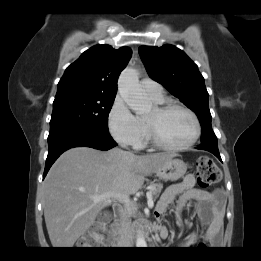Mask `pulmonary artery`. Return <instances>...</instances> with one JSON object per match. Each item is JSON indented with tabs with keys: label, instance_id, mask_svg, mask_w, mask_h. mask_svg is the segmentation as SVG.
<instances>
[{
	"label": "pulmonary artery",
	"instance_id": "obj_1",
	"mask_svg": "<svg viewBox=\"0 0 261 261\" xmlns=\"http://www.w3.org/2000/svg\"><path fill=\"white\" fill-rule=\"evenodd\" d=\"M141 86L143 91L152 98H159L163 96L162 86L150 78L142 79Z\"/></svg>",
	"mask_w": 261,
	"mask_h": 261
}]
</instances>
